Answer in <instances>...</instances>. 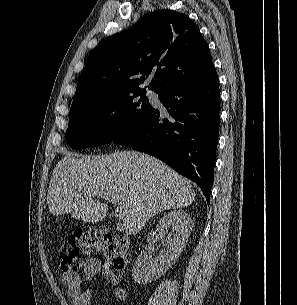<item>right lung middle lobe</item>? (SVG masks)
<instances>
[{"mask_svg": "<svg viewBox=\"0 0 297 305\" xmlns=\"http://www.w3.org/2000/svg\"><path fill=\"white\" fill-rule=\"evenodd\" d=\"M152 108L145 91L140 90L81 102L70 108L66 141L76 149L107 144Z\"/></svg>", "mask_w": 297, "mask_h": 305, "instance_id": "1", "label": "right lung middle lobe"}]
</instances>
